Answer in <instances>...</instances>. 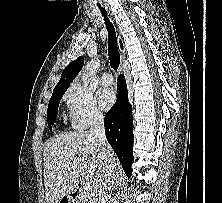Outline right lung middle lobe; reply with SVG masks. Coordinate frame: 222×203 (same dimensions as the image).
I'll use <instances>...</instances> for the list:
<instances>
[{"label": "right lung middle lobe", "instance_id": "1", "mask_svg": "<svg viewBox=\"0 0 222 203\" xmlns=\"http://www.w3.org/2000/svg\"><path fill=\"white\" fill-rule=\"evenodd\" d=\"M65 91L66 90L53 92L52 97L50 98L47 111V121L50 129H52L51 125L56 120V116L58 114L59 102L62 96L64 95Z\"/></svg>", "mask_w": 222, "mask_h": 203}]
</instances>
